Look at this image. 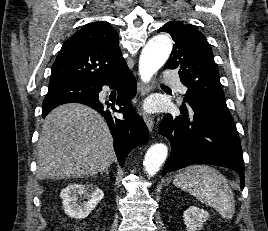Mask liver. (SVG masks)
Segmentation results:
<instances>
[{"mask_svg": "<svg viewBox=\"0 0 268 231\" xmlns=\"http://www.w3.org/2000/svg\"><path fill=\"white\" fill-rule=\"evenodd\" d=\"M115 158L109 128L92 108L68 103L46 116L38 142L39 179L94 176Z\"/></svg>", "mask_w": 268, "mask_h": 231, "instance_id": "liver-1", "label": "liver"}]
</instances>
